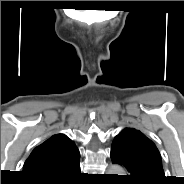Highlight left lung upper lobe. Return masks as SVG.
I'll list each match as a JSON object with an SVG mask.
<instances>
[{
    "label": "left lung upper lobe",
    "mask_w": 184,
    "mask_h": 184,
    "mask_svg": "<svg viewBox=\"0 0 184 184\" xmlns=\"http://www.w3.org/2000/svg\"><path fill=\"white\" fill-rule=\"evenodd\" d=\"M112 146L120 149L133 161L146 169L149 176L164 181L161 156L155 144L134 128H125L113 140Z\"/></svg>",
    "instance_id": "5c2ea615"
}]
</instances>
